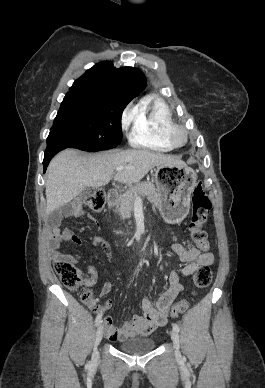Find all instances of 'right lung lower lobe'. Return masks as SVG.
Here are the masks:
<instances>
[{"mask_svg": "<svg viewBox=\"0 0 265 388\" xmlns=\"http://www.w3.org/2000/svg\"><path fill=\"white\" fill-rule=\"evenodd\" d=\"M63 149H65V148H55L52 150H46L45 155H44V160H43L44 172L46 171L47 166H48L50 160L52 159V157L54 155H56V153H58L59 151H61Z\"/></svg>", "mask_w": 265, "mask_h": 388, "instance_id": "1", "label": "right lung lower lobe"}]
</instances>
